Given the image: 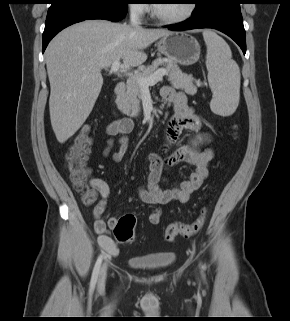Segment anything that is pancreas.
I'll list each match as a JSON object with an SVG mask.
<instances>
[{
  "instance_id": "pancreas-1",
  "label": "pancreas",
  "mask_w": 290,
  "mask_h": 321,
  "mask_svg": "<svg viewBox=\"0 0 290 321\" xmlns=\"http://www.w3.org/2000/svg\"><path fill=\"white\" fill-rule=\"evenodd\" d=\"M159 66H163L167 71L168 80L174 88L182 89L189 95L196 94L197 87L191 75L183 73L172 60L157 58L151 65L139 68L138 73L127 80L126 92L116 100L117 107L122 113L131 117L138 116L142 86L137 82V77H149Z\"/></svg>"
}]
</instances>
